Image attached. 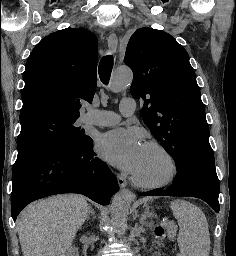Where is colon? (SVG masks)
<instances>
[{"label": "colon", "mask_w": 236, "mask_h": 256, "mask_svg": "<svg viewBox=\"0 0 236 256\" xmlns=\"http://www.w3.org/2000/svg\"><path fill=\"white\" fill-rule=\"evenodd\" d=\"M163 240H164L163 233H162L161 229H158V230L156 231L155 241H156V243H157L159 246H162Z\"/></svg>", "instance_id": "obj_1"}]
</instances>
